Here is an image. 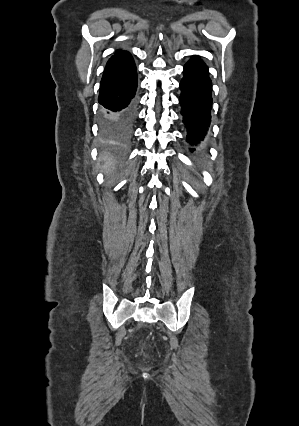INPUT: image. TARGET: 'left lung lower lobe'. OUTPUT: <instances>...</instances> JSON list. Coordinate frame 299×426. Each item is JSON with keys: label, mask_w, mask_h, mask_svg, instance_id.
Instances as JSON below:
<instances>
[{"label": "left lung lower lobe", "mask_w": 299, "mask_h": 426, "mask_svg": "<svg viewBox=\"0 0 299 426\" xmlns=\"http://www.w3.org/2000/svg\"><path fill=\"white\" fill-rule=\"evenodd\" d=\"M184 77L180 82L181 115L187 129V141L197 145L205 137L211 119L212 86L208 67L193 56L184 66ZM191 149V151H194Z\"/></svg>", "instance_id": "1"}]
</instances>
